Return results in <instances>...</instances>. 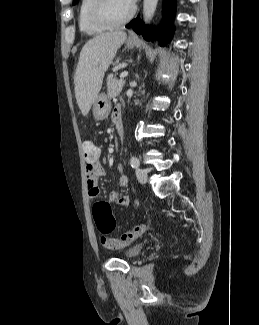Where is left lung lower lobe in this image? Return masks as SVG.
Segmentation results:
<instances>
[{
    "label": "left lung lower lobe",
    "mask_w": 259,
    "mask_h": 325,
    "mask_svg": "<svg viewBox=\"0 0 259 325\" xmlns=\"http://www.w3.org/2000/svg\"><path fill=\"white\" fill-rule=\"evenodd\" d=\"M176 10V0H164L163 5V22L161 26V32L158 34V40L160 44L167 42L170 35L174 31L173 19ZM126 27H132L137 34H142L145 40H152L154 38V32L152 29H146L141 20L134 19Z\"/></svg>",
    "instance_id": "obj_1"
}]
</instances>
